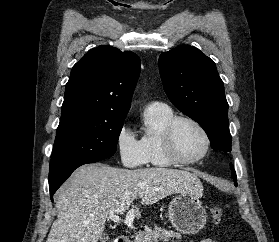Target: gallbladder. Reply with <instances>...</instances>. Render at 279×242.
Wrapping results in <instances>:
<instances>
[{"label":"gallbladder","mask_w":279,"mask_h":242,"mask_svg":"<svg viewBox=\"0 0 279 242\" xmlns=\"http://www.w3.org/2000/svg\"><path fill=\"white\" fill-rule=\"evenodd\" d=\"M100 239L101 242H106L109 239V236L107 234H103Z\"/></svg>","instance_id":"obj_1"}]
</instances>
